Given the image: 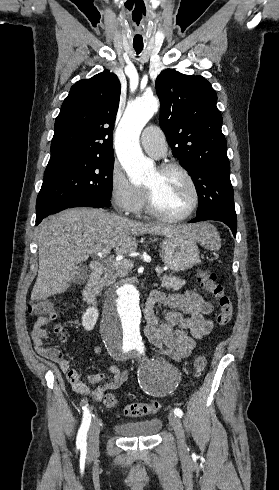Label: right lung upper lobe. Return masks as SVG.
Wrapping results in <instances>:
<instances>
[{"instance_id":"1","label":"right lung upper lobe","mask_w":279,"mask_h":490,"mask_svg":"<svg viewBox=\"0 0 279 490\" xmlns=\"http://www.w3.org/2000/svg\"><path fill=\"white\" fill-rule=\"evenodd\" d=\"M120 83L108 71L71 87L55 121L49 163L113 151Z\"/></svg>"}]
</instances>
